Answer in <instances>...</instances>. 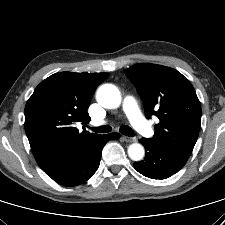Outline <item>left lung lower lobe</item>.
Segmentation results:
<instances>
[{
  "instance_id": "left-lung-lower-lobe-1",
  "label": "left lung lower lobe",
  "mask_w": 225,
  "mask_h": 225,
  "mask_svg": "<svg viewBox=\"0 0 225 225\" xmlns=\"http://www.w3.org/2000/svg\"><path fill=\"white\" fill-rule=\"evenodd\" d=\"M140 143L146 149L144 160L135 162V169L152 179H165L177 173L187 162L185 157L174 150L142 138Z\"/></svg>"
}]
</instances>
